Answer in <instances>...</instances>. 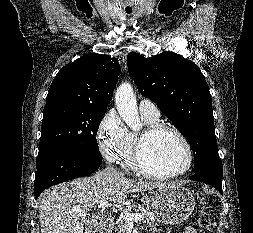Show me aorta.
<instances>
[{
	"instance_id": "obj_1",
	"label": "aorta",
	"mask_w": 253,
	"mask_h": 233,
	"mask_svg": "<svg viewBox=\"0 0 253 233\" xmlns=\"http://www.w3.org/2000/svg\"><path fill=\"white\" fill-rule=\"evenodd\" d=\"M115 105L120 117L133 131H139L142 123L139 118L136 96L129 83L121 84L115 93Z\"/></svg>"
}]
</instances>
